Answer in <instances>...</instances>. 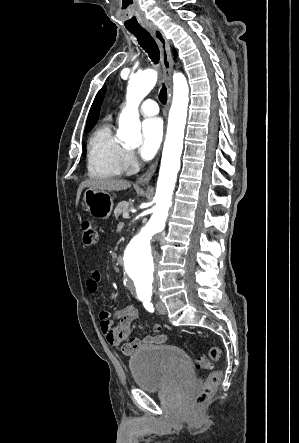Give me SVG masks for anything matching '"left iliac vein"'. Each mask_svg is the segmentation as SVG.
Here are the masks:
<instances>
[{
    "mask_svg": "<svg viewBox=\"0 0 299 443\" xmlns=\"http://www.w3.org/2000/svg\"><path fill=\"white\" fill-rule=\"evenodd\" d=\"M157 311L160 313V314H166V312H167V310H166V307H165V305L162 303V302H158L157 303Z\"/></svg>",
    "mask_w": 299,
    "mask_h": 443,
    "instance_id": "4c4485c4",
    "label": "left iliac vein"
}]
</instances>
